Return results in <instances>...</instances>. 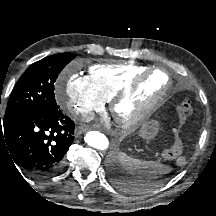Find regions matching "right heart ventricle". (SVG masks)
I'll return each instance as SVG.
<instances>
[{"mask_svg": "<svg viewBox=\"0 0 216 216\" xmlns=\"http://www.w3.org/2000/svg\"><path fill=\"white\" fill-rule=\"evenodd\" d=\"M146 70L147 68L133 63L95 64L89 68V78L94 88L106 101L135 76Z\"/></svg>", "mask_w": 216, "mask_h": 216, "instance_id": "obj_1", "label": "right heart ventricle"}]
</instances>
